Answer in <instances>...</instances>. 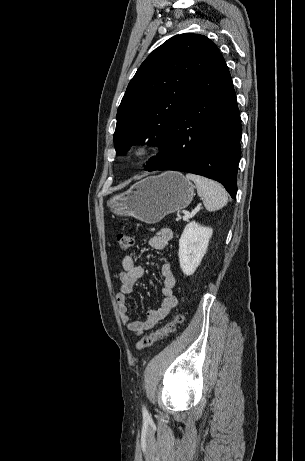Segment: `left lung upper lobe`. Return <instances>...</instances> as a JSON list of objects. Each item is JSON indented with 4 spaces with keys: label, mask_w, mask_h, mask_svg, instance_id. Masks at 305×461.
I'll return each mask as SVG.
<instances>
[{
    "label": "left lung upper lobe",
    "mask_w": 305,
    "mask_h": 461,
    "mask_svg": "<svg viewBox=\"0 0 305 461\" xmlns=\"http://www.w3.org/2000/svg\"><path fill=\"white\" fill-rule=\"evenodd\" d=\"M207 37L184 33L155 49L131 79L117 112L114 144L117 156L135 143L148 141L160 157L170 124L193 89L220 56Z\"/></svg>",
    "instance_id": "5c2ea615"
}]
</instances>
